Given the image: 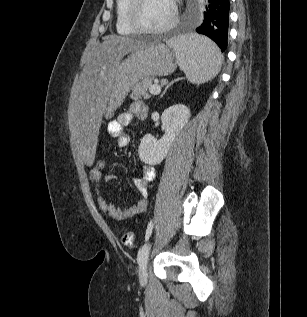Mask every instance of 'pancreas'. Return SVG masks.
<instances>
[{
  "label": "pancreas",
  "instance_id": "pancreas-1",
  "mask_svg": "<svg viewBox=\"0 0 307 317\" xmlns=\"http://www.w3.org/2000/svg\"><path fill=\"white\" fill-rule=\"evenodd\" d=\"M152 86V79L146 78L138 82L132 89L130 98L133 100L138 99H149L151 95L148 92V89Z\"/></svg>",
  "mask_w": 307,
  "mask_h": 317
}]
</instances>
